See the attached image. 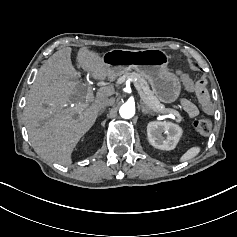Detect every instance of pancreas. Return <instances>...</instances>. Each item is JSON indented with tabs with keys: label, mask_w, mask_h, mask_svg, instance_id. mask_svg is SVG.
I'll list each match as a JSON object with an SVG mask.
<instances>
[{
	"label": "pancreas",
	"mask_w": 237,
	"mask_h": 237,
	"mask_svg": "<svg viewBox=\"0 0 237 237\" xmlns=\"http://www.w3.org/2000/svg\"><path fill=\"white\" fill-rule=\"evenodd\" d=\"M124 77H125L126 79L134 80V83H137L138 86H140L141 91L144 93V95H145V97H146L148 103L152 104V105H153L155 108H157L158 110H168V109H163V108H162L163 106L160 104V100H158V98L154 95V93H153V91L150 89V87H149L147 81H146L144 78H142V77L140 76V74H138V73H127V74L124 75ZM137 91H138V89H137ZM139 95H140V94H139ZM141 98H142V97H141ZM142 100H143V99H142ZM144 103H145V105L152 111V113L159 112V111H156L155 109H152V108H154V107H152L151 105H150V106H151L152 108H150V107L148 106V104H146V102H144ZM164 112H168V111H160L159 113H164ZM178 121H179V120H178Z\"/></svg>",
	"instance_id": "cf45deb5"
}]
</instances>
